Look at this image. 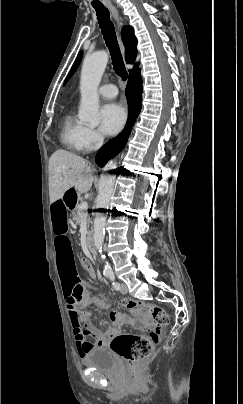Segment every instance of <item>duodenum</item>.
Returning <instances> with one entry per match:
<instances>
[{"label": "duodenum", "instance_id": "410a0bca", "mask_svg": "<svg viewBox=\"0 0 243 404\" xmlns=\"http://www.w3.org/2000/svg\"><path fill=\"white\" fill-rule=\"evenodd\" d=\"M63 198L68 209L75 211L79 204V194L74 187H69L63 192ZM87 247L93 256L97 255L94 240L92 237L87 239Z\"/></svg>", "mask_w": 243, "mask_h": 404}]
</instances>
